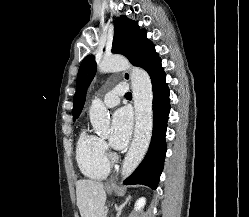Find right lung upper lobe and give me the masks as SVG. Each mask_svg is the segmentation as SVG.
<instances>
[{
    "label": "right lung upper lobe",
    "mask_w": 249,
    "mask_h": 217,
    "mask_svg": "<svg viewBox=\"0 0 249 217\" xmlns=\"http://www.w3.org/2000/svg\"><path fill=\"white\" fill-rule=\"evenodd\" d=\"M75 112H76V110H75V108L73 109V120H75Z\"/></svg>",
    "instance_id": "cb5924a9"
}]
</instances>
